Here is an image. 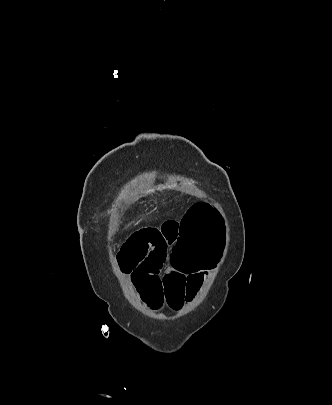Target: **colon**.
I'll list each match as a JSON object with an SVG mask.
<instances>
[{"label": "colon", "mask_w": 332, "mask_h": 405, "mask_svg": "<svg viewBox=\"0 0 332 405\" xmlns=\"http://www.w3.org/2000/svg\"><path fill=\"white\" fill-rule=\"evenodd\" d=\"M213 209L212 202H192L185 212L186 220H177L172 255L181 275H207L220 266L224 255L223 228L219 211Z\"/></svg>", "instance_id": "colon-1"}]
</instances>
